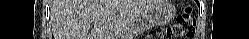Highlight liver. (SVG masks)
Listing matches in <instances>:
<instances>
[{"label": "liver", "mask_w": 249, "mask_h": 39, "mask_svg": "<svg viewBox=\"0 0 249 39\" xmlns=\"http://www.w3.org/2000/svg\"><path fill=\"white\" fill-rule=\"evenodd\" d=\"M158 0H69L53 8L54 39H118ZM94 24L90 33L91 24Z\"/></svg>", "instance_id": "6515ba94"}]
</instances>
